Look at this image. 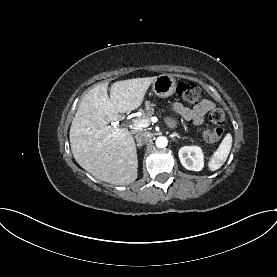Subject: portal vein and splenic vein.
Here are the masks:
<instances>
[{
	"instance_id": "obj_1",
	"label": "portal vein and splenic vein",
	"mask_w": 277,
	"mask_h": 277,
	"mask_svg": "<svg viewBox=\"0 0 277 277\" xmlns=\"http://www.w3.org/2000/svg\"><path fill=\"white\" fill-rule=\"evenodd\" d=\"M157 121V117H150L149 119H134L133 126L136 128H145L148 127L151 124V122L156 123Z\"/></svg>"
}]
</instances>
